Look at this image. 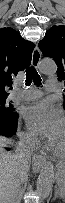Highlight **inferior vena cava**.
I'll use <instances>...</instances> for the list:
<instances>
[{"label": "inferior vena cava", "instance_id": "1", "mask_svg": "<svg viewBox=\"0 0 65 203\" xmlns=\"http://www.w3.org/2000/svg\"><path fill=\"white\" fill-rule=\"evenodd\" d=\"M35 142V138L28 136L21 138L15 150V158L18 161V175L19 179L13 183L11 194L8 198H0V203H17L16 197L19 192L20 183L24 181L27 175L28 163L31 160V147ZM2 195V194H1Z\"/></svg>", "mask_w": 65, "mask_h": 203}]
</instances>
